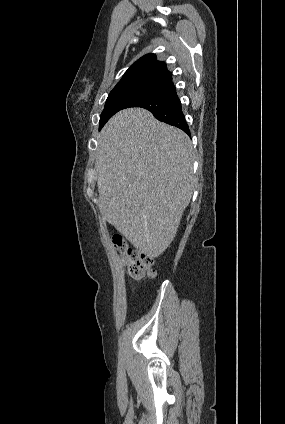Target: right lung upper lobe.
<instances>
[{
  "label": "right lung upper lobe",
  "mask_w": 285,
  "mask_h": 424,
  "mask_svg": "<svg viewBox=\"0 0 285 424\" xmlns=\"http://www.w3.org/2000/svg\"><path fill=\"white\" fill-rule=\"evenodd\" d=\"M172 82V75L166 64L157 61L155 54H147L137 60L124 74L115 88L136 83H159L166 85Z\"/></svg>",
  "instance_id": "cb5924a9"
}]
</instances>
